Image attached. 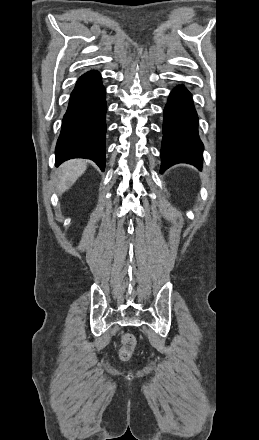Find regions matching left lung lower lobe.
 Listing matches in <instances>:
<instances>
[{
  "label": "left lung lower lobe",
  "instance_id": "0a47b994",
  "mask_svg": "<svg viewBox=\"0 0 259 440\" xmlns=\"http://www.w3.org/2000/svg\"><path fill=\"white\" fill-rule=\"evenodd\" d=\"M203 144L198 136V116L192 96L183 87H176L164 109L161 173L177 163L202 167Z\"/></svg>",
  "mask_w": 259,
  "mask_h": 440
}]
</instances>
